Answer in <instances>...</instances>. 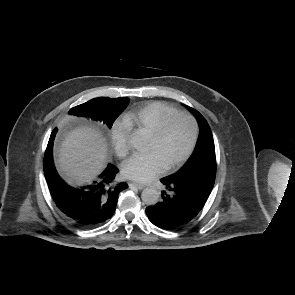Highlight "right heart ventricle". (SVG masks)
I'll return each mask as SVG.
<instances>
[{
    "instance_id": "1",
    "label": "right heart ventricle",
    "mask_w": 295,
    "mask_h": 295,
    "mask_svg": "<svg viewBox=\"0 0 295 295\" xmlns=\"http://www.w3.org/2000/svg\"><path fill=\"white\" fill-rule=\"evenodd\" d=\"M175 112H178V109L170 104L150 102L126 113L123 123L129 129L143 130L151 133L164 117Z\"/></svg>"
}]
</instances>
